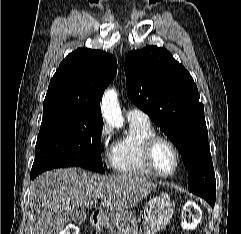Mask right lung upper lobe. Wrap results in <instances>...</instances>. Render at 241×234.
Listing matches in <instances>:
<instances>
[{
	"instance_id": "obj_1",
	"label": "right lung upper lobe",
	"mask_w": 241,
	"mask_h": 234,
	"mask_svg": "<svg viewBox=\"0 0 241 234\" xmlns=\"http://www.w3.org/2000/svg\"><path fill=\"white\" fill-rule=\"evenodd\" d=\"M117 73V61L111 54L92 49H77L59 65L52 77L44 108H69L82 117L103 121L100 100Z\"/></svg>"
}]
</instances>
